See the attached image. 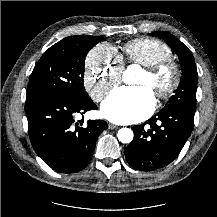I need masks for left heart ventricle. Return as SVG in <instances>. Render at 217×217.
<instances>
[{"instance_id":"left-heart-ventricle-1","label":"left heart ventricle","mask_w":217,"mask_h":217,"mask_svg":"<svg viewBox=\"0 0 217 217\" xmlns=\"http://www.w3.org/2000/svg\"><path fill=\"white\" fill-rule=\"evenodd\" d=\"M166 82H167V79L164 77V78L161 80V83H162V84H166ZM134 84H135V85H138V86H145V87H148L151 91H153L151 79H150V77H149L145 72H143V73L139 76V78L135 81Z\"/></svg>"}]
</instances>
